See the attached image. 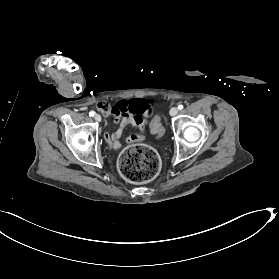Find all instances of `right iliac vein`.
<instances>
[{
    "label": "right iliac vein",
    "instance_id": "right-iliac-vein-1",
    "mask_svg": "<svg viewBox=\"0 0 279 279\" xmlns=\"http://www.w3.org/2000/svg\"><path fill=\"white\" fill-rule=\"evenodd\" d=\"M94 119H95L97 122H100V121H101V116H100L99 114H95Z\"/></svg>",
    "mask_w": 279,
    "mask_h": 279
}]
</instances>
